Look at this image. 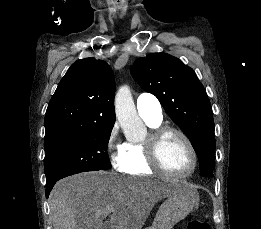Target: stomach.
<instances>
[{"label":"stomach","mask_w":261,"mask_h":229,"mask_svg":"<svg viewBox=\"0 0 261 229\" xmlns=\"http://www.w3.org/2000/svg\"><path fill=\"white\" fill-rule=\"evenodd\" d=\"M170 185H173L176 193L170 195L161 205L152 227L147 229H172L173 225L185 219L198 203L199 195L191 183L173 181Z\"/></svg>","instance_id":"stomach-1"}]
</instances>
